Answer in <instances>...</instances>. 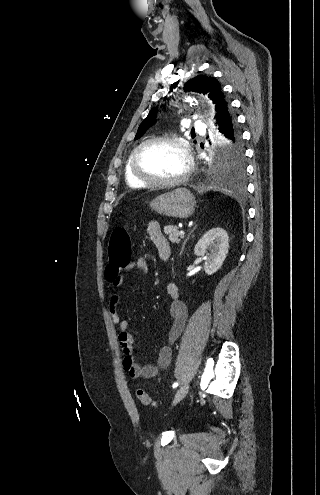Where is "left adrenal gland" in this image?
Returning <instances> with one entry per match:
<instances>
[{
    "instance_id": "left-adrenal-gland-1",
    "label": "left adrenal gland",
    "mask_w": 320,
    "mask_h": 495,
    "mask_svg": "<svg viewBox=\"0 0 320 495\" xmlns=\"http://www.w3.org/2000/svg\"><path fill=\"white\" fill-rule=\"evenodd\" d=\"M194 232V229L189 233L188 237L185 239V241L183 242V245H182V248H181V252H180V255L183 253V250L185 248V245H186V242L190 239V236L192 235V233Z\"/></svg>"
}]
</instances>
